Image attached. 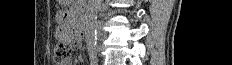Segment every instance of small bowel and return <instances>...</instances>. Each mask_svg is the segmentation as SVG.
Wrapping results in <instances>:
<instances>
[{"mask_svg": "<svg viewBox=\"0 0 232 65\" xmlns=\"http://www.w3.org/2000/svg\"><path fill=\"white\" fill-rule=\"evenodd\" d=\"M68 17H76V12H58L55 17L56 21H67ZM73 23H60L55 32V37L59 40L60 45H69L70 47H81V42H76V32H72ZM62 65H72V61L68 59Z\"/></svg>", "mask_w": 232, "mask_h": 65, "instance_id": "small-bowel-1", "label": "small bowel"}]
</instances>
